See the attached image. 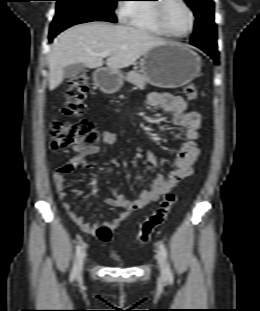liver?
<instances>
[{"label":"liver","mask_w":260,"mask_h":311,"mask_svg":"<svg viewBox=\"0 0 260 311\" xmlns=\"http://www.w3.org/2000/svg\"><path fill=\"white\" fill-rule=\"evenodd\" d=\"M165 43L168 42L134 27L106 22L75 25L55 39L48 55L49 88L54 90L62 83L63 70L68 65L83 63L91 69L101 67L103 58L96 54L109 52L107 69L119 70Z\"/></svg>","instance_id":"liver-1"}]
</instances>
